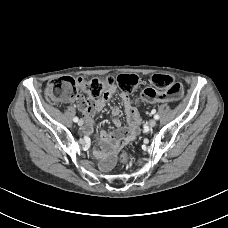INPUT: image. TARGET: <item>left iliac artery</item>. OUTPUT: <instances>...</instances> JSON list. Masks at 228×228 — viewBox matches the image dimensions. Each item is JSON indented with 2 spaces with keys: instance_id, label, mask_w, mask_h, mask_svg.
<instances>
[{
  "instance_id": "left-iliac-artery-1",
  "label": "left iliac artery",
  "mask_w": 228,
  "mask_h": 228,
  "mask_svg": "<svg viewBox=\"0 0 228 228\" xmlns=\"http://www.w3.org/2000/svg\"><path fill=\"white\" fill-rule=\"evenodd\" d=\"M154 118H155L156 120H158V119H159V115H158V114L154 115Z\"/></svg>"
}]
</instances>
